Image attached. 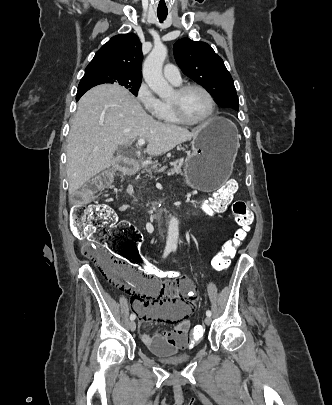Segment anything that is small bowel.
I'll use <instances>...</instances> for the list:
<instances>
[{
	"label": "small bowel",
	"instance_id": "1",
	"mask_svg": "<svg viewBox=\"0 0 332 405\" xmlns=\"http://www.w3.org/2000/svg\"><path fill=\"white\" fill-rule=\"evenodd\" d=\"M121 286L126 292L136 294L133 308L140 317L141 339L149 349H155L156 353L189 352L186 349L189 338L181 337L191 328L190 311H195V306L199 305V298L192 297L190 281L174 278L163 283L143 278L138 271L124 267ZM155 320L166 321L167 332L149 335L146 329Z\"/></svg>",
	"mask_w": 332,
	"mask_h": 405
}]
</instances>
